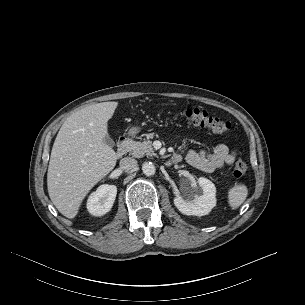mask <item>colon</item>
Masks as SVG:
<instances>
[{
  "label": "colon",
  "instance_id": "obj_1",
  "mask_svg": "<svg viewBox=\"0 0 305 305\" xmlns=\"http://www.w3.org/2000/svg\"><path fill=\"white\" fill-rule=\"evenodd\" d=\"M181 116L186 125L192 127L205 128L215 134H225L230 129V122L227 120L213 117L205 110L198 108H187L181 111ZM247 171L245 161L239 158L233 168V176L242 178Z\"/></svg>",
  "mask_w": 305,
  "mask_h": 305
}]
</instances>
